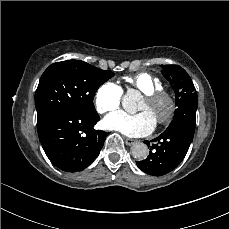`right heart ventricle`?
Wrapping results in <instances>:
<instances>
[{"mask_svg":"<svg viewBox=\"0 0 229 229\" xmlns=\"http://www.w3.org/2000/svg\"><path fill=\"white\" fill-rule=\"evenodd\" d=\"M124 81L131 88L130 91L136 90L141 93L163 88L161 79L148 72L125 76Z\"/></svg>","mask_w":229,"mask_h":229,"instance_id":"e07e8e85","label":"right heart ventricle"}]
</instances>
